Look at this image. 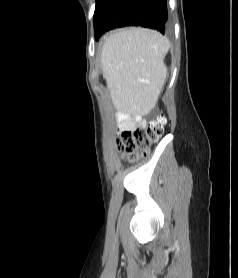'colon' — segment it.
I'll return each instance as SVG.
<instances>
[{
	"mask_svg": "<svg viewBox=\"0 0 238 278\" xmlns=\"http://www.w3.org/2000/svg\"><path fill=\"white\" fill-rule=\"evenodd\" d=\"M165 118L159 117L146 128H135L123 131L118 140L119 149L131 160H136L140 155L146 156L152 144L163 134Z\"/></svg>",
	"mask_w": 238,
	"mask_h": 278,
	"instance_id": "obj_1",
	"label": "colon"
}]
</instances>
